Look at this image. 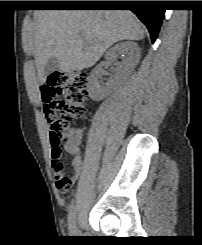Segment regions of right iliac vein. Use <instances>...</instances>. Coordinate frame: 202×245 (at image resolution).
I'll return each instance as SVG.
<instances>
[{
	"label": "right iliac vein",
	"mask_w": 202,
	"mask_h": 245,
	"mask_svg": "<svg viewBox=\"0 0 202 245\" xmlns=\"http://www.w3.org/2000/svg\"><path fill=\"white\" fill-rule=\"evenodd\" d=\"M70 233L71 235H74V236H81V232L76 226H74L73 230H71Z\"/></svg>",
	"instance_id": "obj_1"
}]
</instances>
